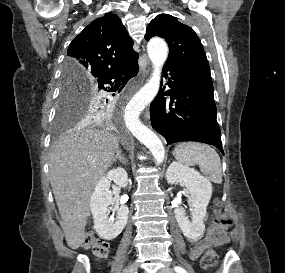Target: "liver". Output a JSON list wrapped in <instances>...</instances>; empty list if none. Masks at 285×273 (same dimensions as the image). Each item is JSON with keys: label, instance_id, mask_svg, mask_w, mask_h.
I'll use <instances>...</instances> for the list:
<instances>
[{"label": "liver", "instance_id": "obj_1", "mask_svg": "<svg viewBox=\"0 0 285 273\" xmlns=\"http://www.w3.org/2000/svg\"><path fill=\"white\" fill-rule=\"evenodd\" d=\"M84 120L52 146L49 179L61 215V227L71 249H78L85 235L89 201L119 149L116 135L92 127Z\"/></svg>", "mask_w": 285, "mask_h": 273}]
</instances>
